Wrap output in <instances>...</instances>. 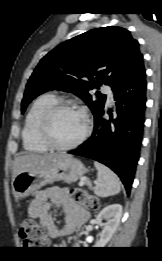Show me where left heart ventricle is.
I'll use <instances>...</instances> for the list:
<instances>
[{"instance_id":"1","label":"left heart ventricle","mask_w":162,"mask_h":261,"mask_svg":"<svg viewBox=\"0 0 162 261\" xmlns=\"http://www.w3.org/2000/svg\"><path fill=\"white\" fill-rule=\"evenodd\" d=\"M84 116L76 110H63L55 115L51 124L54 140L59 144L75 141L84 131Z\"/></svg>"}]
</instances>
